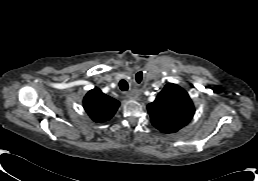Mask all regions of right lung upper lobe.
Returning a JSON list of instances; mask_svg holds the SVG:
<instances>
[{"mask_svg":"<svg viewBox=\"0 0 258 181\" xmlns=\"http://www.w3.org/2000/svg\"><path fill=\"white\" fill-rule=\"evenodd\" d=\"M120 103L105 95L100 89L90 90L83 100V107L95 122H105L113 117Z\"/></svg>","mask_w":258,"mask_h":181,"instance_id":"right-lung-upper-lobe-1","label":"right lung upper lobe"}]
</instances>
